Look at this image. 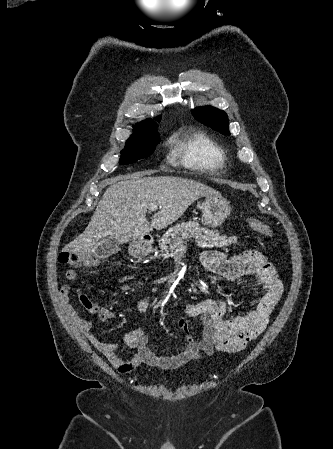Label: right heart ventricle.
<instances>
[{
  "mask_svg": "<svg viewBox=\"0 0 333 449\" xmlns=\"http://www.w3.org/2000/svg\"><path fill=\"white\" fill-rule=\"evenodd\" d=\"M172 155L192 168L217 170L224 162L223 149L207 135L180 131L171 138Z\"/></svg>",
  "mask_w": 333,
  "mask_h": 449,
  "instance_id": "1",
  "label": "right heart ventricle"
}]
</instances>
